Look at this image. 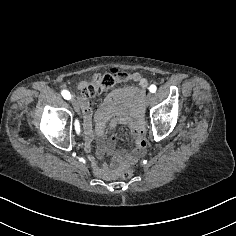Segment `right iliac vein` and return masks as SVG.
Segmentation results:
<instances>
[{"instance_id": "right-iliac-vein-1", "label": "right iliac vein", "mask_w": 236, "mask_h": 236, "mask_svg": "<svg viewBox=\"0 0 236 236\" xmlns=\"http://www.w3.org/2000/svg\"><path fill=\"white\" fill-rule=\"evenodd\" d=\"M74 106H75V107H74V110L79 114V113L81 112V111H80V110H81V109H80L81 107L79 106V104H78L77 102L74 104Z\"/></svg>"}]
</instances>
